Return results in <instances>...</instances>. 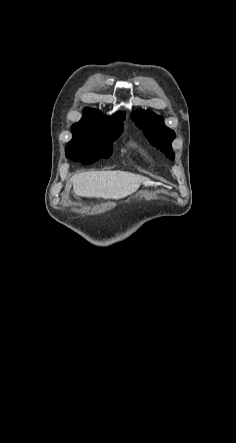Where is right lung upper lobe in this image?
Returning a JSON list of instances; mask_svg holds the SVG:
<instances>
[{"label": "right lung upper lobe", "mask_w": 236, "mask_h": 443, "mask_svg": "<svg viewBox=\"0 0 236 443\" xmlns=\"http://www.w3.org/2000/svg\"><path fill=\"white\" fill-rule=\"evenodd\" d=\"M125 118L124 112H118L114 114L112 117L104 116L100 111L94 110L92 108H85L82 119H104L111 121H123Z\"/></svg>", "instance_id": "cb5924a9"}]
</instances>
